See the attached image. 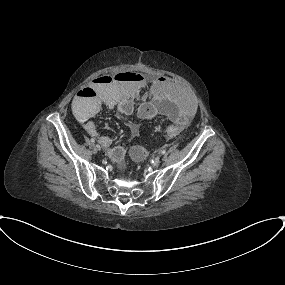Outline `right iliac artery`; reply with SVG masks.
<instances>
[{"label": "right iliac artery", "instance_id": "right-iliac-artery-1", "mask_svg": "<svg viewBox=\"0 0 285 285\" xmlns=\"http://www.w3.org/2000/svg\"><path fill=\"white\" fill-rule=\"evenodd\" d=\"M91 142H92V143H95V139H94V138H91Z\"/></svg>", "mask_w": 285, "mask_h": 285}]
</instances>
